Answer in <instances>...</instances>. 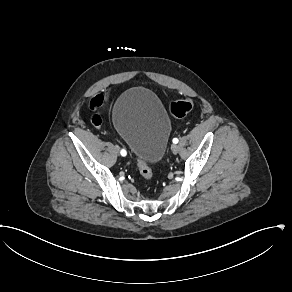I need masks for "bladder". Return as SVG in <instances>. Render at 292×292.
Instances as JSON below:
<instances>
[{
    "label": "bladder",
    "mask_w": 292,
    "mask_h": 292,
    "mask_svg": "<svg viewBox=\"0 0 292 292\" xmlns=\"http://www.w3.org/2000/svg\"><path fill=\"white\" fill-rule=\"evenodd\" d=\"M112 123L137 159L148 165L162 159L171 122L152 90L132 87L124 91L113 106Z\"/></svg>",
    "instance_id": "obj_1"
}]
</instances>
